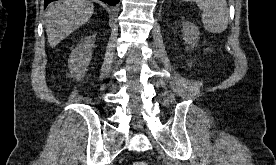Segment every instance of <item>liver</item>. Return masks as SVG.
<instances>
[{
	"mask_svg": "<svg viewBox=\"0 0 276 165\" xmlns=\"http://www.w3.org/2000/svg\"><path fill=\"white\" fill-rule=\"evenodd\" d=\"M94 6L87 0H59L48 6L46 19V33L49 45L55 47L85 24L92 16Z\"/></svg>",
	"mask_w": 276,
	"mask_h": 165,
	"instance_id": "liver-1",
	"label": "liver"
}]
</instances>
